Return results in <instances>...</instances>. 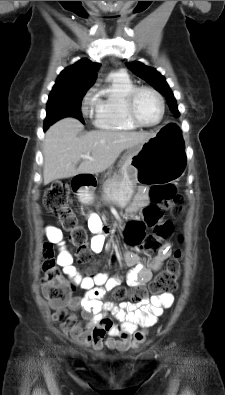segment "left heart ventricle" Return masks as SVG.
<instances>
[{
  "label": "left heart ventricle",
  "instance_id": "1",
  "mask_svg": "<svg viewBox=\"0 0 225 395\" xmlns=\"http://www.w3.org/2000/svg\"><path fill=\"white\" fill-rule=\"evenodd\" d=\"M135 111L143 123L152 124L159 119L160 105L153 94L141 92L136 99Z\"/></svg>",
  "mask_w": 225,
  "mask_h": 395
}]
</instances>
